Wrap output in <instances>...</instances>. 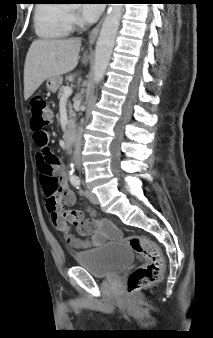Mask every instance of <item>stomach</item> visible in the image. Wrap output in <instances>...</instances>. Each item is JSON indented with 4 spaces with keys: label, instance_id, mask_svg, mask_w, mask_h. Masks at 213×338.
Wrapping results in <instances>:
<instances>
[{
    "label": "stomach",
    "instance_id": "stomach-1",
    "mask_svg": "<svg viewBox=\"0 0 213 338\" xmlns=\"http://www.w3.org/2000/svg\"><path fill=\"white\" fill-rule=\"evenodd\" d=\"M63 78L61 76H54L47 79L46 87L48 91L55 93L62 84Z\"/></svg>",
    "mask_w": 213,
    "mask_h": 338
}]
</instances>
